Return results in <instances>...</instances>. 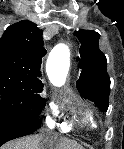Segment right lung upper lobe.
I'll return each mask as SVG.
<instances>
[{"label": "right lung upper lobe", "mask_w": 124, "mask_h": 149, "mask_svg": "<svg viewBox=\"0 0 124 149\" xmlns=\"http://www.w3.org/2000/svg\"><path fill=\"white\" fill-rule=\"evenodd\" d=\"M42 30L23 20L9 26L0 38V72L12 74L30 86H42L41 60L46 54Z\"/></svg>", "instance_id": "cb5924a9"}]
</instances>
